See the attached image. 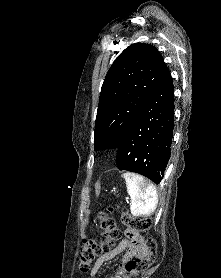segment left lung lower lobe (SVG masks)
Instances as JSON below:
<instances>
[{
  "label": "left lung lower lobe",
  "instance_id": "obj_1",
  "mask_svg": "<svg viewBox=\"0 0 221 278\" xmlns=\"http://www.w3.org/2000/svg\"><path fill=\"white\" fill-rule=\"evenodd\" d=\"M174 88L164 71L147 104L118 147L117 167L161 182L168 164L174 127Z\"/></svg>",
  "mask_w": 221,
  "mask_h": 278
}]
</instances>
